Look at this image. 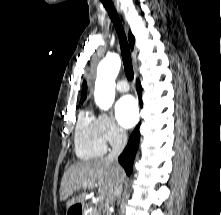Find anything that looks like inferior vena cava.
Returning <instances> with one entry per match:
<instances>
[{
    "label": "inferior vena cava",
    "mask_w": 221,
    "mask_h": 215,
    "mask_svg": "<svg viewBox=\"0 0 221 215\" xmlns=\"http://www.w3.org/2000/svg\"><path fill=\"white\" fill-rule=\"evenodd\" d=\"M127 140H128V137H127L126 131L123 129H120L118 136H117L116 143L112 146V151L109 153V155L106 158L107 161L116 163L118 156L122 153L123 149L125 148L127 144ZM121 191H122V185L118 184L115 187V198L120 197ZM110 204H112V202L111 203L106 202L107 215H111L109 211Z\"/></svg>",
    "instance_id": "1"
}]
</instances>
